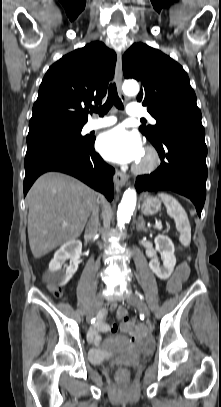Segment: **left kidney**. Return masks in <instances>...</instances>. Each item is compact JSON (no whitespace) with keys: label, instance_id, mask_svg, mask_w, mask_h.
Segmentation results:
<instances>
[{"label":"left kidney","instance_id":"1","mask_svg":"<svg viewBox=\"0 0 221 407\" xmlns=\"http://www.w3.org/2000/svg\"><path fill=\"white\" fill-rule=\"evenodd\" d=\"M154 242L156 251L162 254L163 266L160 265L158 259L154 258L149 262V267L158 278L166 280L173 273L176 264L174 244L171 239L165 235H158Z\"/></svg>","mask_w":221,"mask_h":407}]
</instances>
